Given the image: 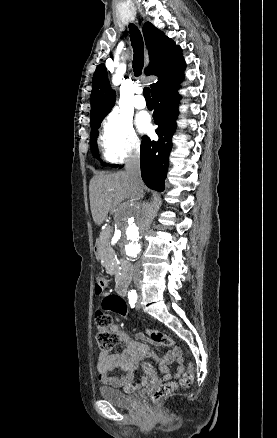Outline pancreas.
<instances>
[{
  "instance_id": "pancreas-1",
  "label": "pancreas",
  "mask_w": 277,
  "mask_h": 438,
  "mask_svg": "<svg viewBox=\"0 0 277 438\" xmlns=\"http://www.w3.org/2000/svg\"><path fill=\"white\" fill-rule=\"evenodd\" d=\"M112 232L102 231L99 237V252L102 253L101 265L102 267H116L117 265V253L112 251Z\"/></svg>"
}]
</instances>
